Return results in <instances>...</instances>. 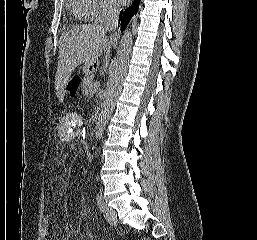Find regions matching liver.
I'll return each mask as SVG.
<instances>
[{
	"instance_id": "6515ba94",
	"label": "liver",
	"mask_w": 257,
	"mask_h": 240,
	"mask_svg": "<svg viewBox=\"0 0 257 240\" xmlns=\"http://www.w3.org/2000/svg\"><path fill=\"white\" fill-rule=\"evenodd\" d=\"M109 48L106 32L98 25H82L62 34L55 76L56 95L60 102L64 99V89L74 69L83 63L92 65L102 51Z\"/></svg>"
}]
</instances>
